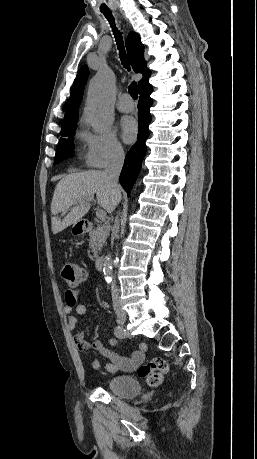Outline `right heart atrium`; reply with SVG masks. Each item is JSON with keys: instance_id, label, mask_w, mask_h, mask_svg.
<instances>
[{"instance_id": "1", "label": "right heart atrium", "mask_w": 257, "mask_h": 459, "mask_svg": "<svg viewBox=\"0 0 257 459\" xmlns=\"http://www.w3.org/2000/svg\"><path fill=\"white\" fill-rule=\"evenodd\" d=\"M81 136L87 147V163L92 167L104 168L124 156L123 145L111 130L89 132L84 129Z\"/></svg>"}]
</instances>
